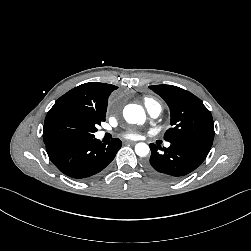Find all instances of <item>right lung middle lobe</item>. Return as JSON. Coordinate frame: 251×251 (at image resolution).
Returning <instances> with one entry per match:
<instances>
[{
  "mask_svg": "<svg viewBox=\"0 0 251 251\" xmlns=\"http://www.w3.org/2000/svg\"><path fill=\"white\" fill-rule=\"evenodd\" d=\"M105 113L76 104L54 105L43 129L44 142L93 137L96 126L105 121Z\"/></svg>",
  "mask_w": 251,
  "mask_h": 251,
  "instance_id": "dd1d6c3e",
  "label": "right lung middle lobe"
}]
</instances>
